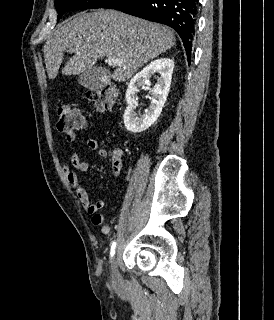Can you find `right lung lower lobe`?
<instances>
[{
  "mask_svg": "<svg viewBox=\"0 0 274 320\" xmlns=\"http://www.w3.org/2000/svg\"><path fill=\"white\" fill-rule=\"evenodd\" d=\"M198 6V0H111L102 8L172 27L180 35L190 61Z\"/></svg>",
  "mask_w": 274,
  "mask_h": 320,
  "instance_id": "obj_1",
  "label": "right lung lower lobe"
}]
</instances>
